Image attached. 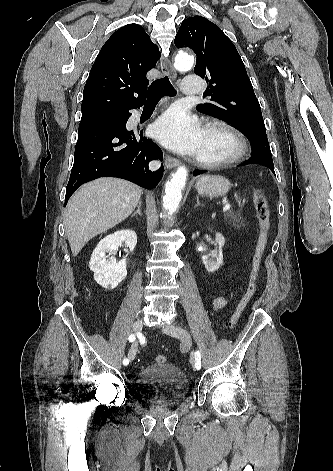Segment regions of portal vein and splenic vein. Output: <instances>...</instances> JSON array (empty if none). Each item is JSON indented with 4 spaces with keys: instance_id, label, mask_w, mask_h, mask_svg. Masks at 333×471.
<instances>
[{
    "instance_id": "1",
    "label": "portal vein and splenic vein",
    "mask_w": 333,
    "mask_h": 471,
    "mask_svg": "<svg viewBox=\"0 0 333 471\" xmlns=\"http://www.w3.org/2000/svg\"><path fill=\"white\" fill-rule=\"evenodd\" d=\"M230 208H231L230 203H226V204L224 205V207H223V212L228 211Z\"/></svg>"
}]
</instances>
